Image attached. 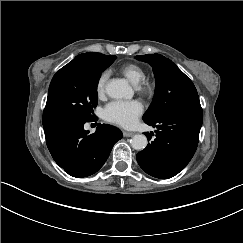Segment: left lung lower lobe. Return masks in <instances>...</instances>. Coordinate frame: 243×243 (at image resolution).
Returning <instances> with one entry per match:
<instances>
[{"mask_svg": "<svg viewBox=\"0 0 243 243\" xmlns=\"http://www.w3.org/2000/svg\"><path fill=\"white\" fill-rule=\"evenodd\" d=\"M203 121L201 107H178L154 123L156 139L137 154L140 167L149 175L168 179L178 174L192 159ZM148 138L149 133L146 134Z\"/></svg>", "mask_w": 243, "mask_h": 243, "instance_id": "0a47b994", "label": "left lung lower lobe"}]
</instances>
